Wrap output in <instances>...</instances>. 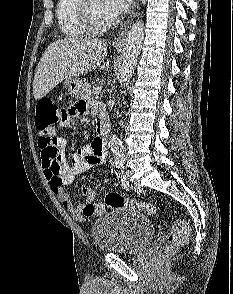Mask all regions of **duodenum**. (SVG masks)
Instances as JSON below:
<instances>
[{
  "label": "duodenum",
  "mask_w": 233,
  "mask_h": 294,
  "mask_svg": "<svg viewBox=\"0 0 233 294\" xmlns=\"http://www.w3.org/2000/svg\"><path fill=\"white\" fill-rule=\"evenodd\" d=\"M96 115V138L97 140L105 144L110 132V122L104 111V108L97 105L95 108Z\"/></svg>",
  "instance_id": "1"
}]
</instances>
